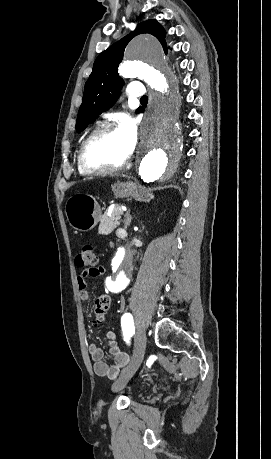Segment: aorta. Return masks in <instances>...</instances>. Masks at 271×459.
<instances>
[{"label": "aorta", "mask_w": 271, "mask_h": 459, "mask_svg": "<svg viewBox=\"0 0 271 459\" xmlns=\"http://www.w3.org/2000/svg\"><path fill=\"white\" fill-rule=\"evenodd\" d=\"M126 57L118 70L120 76L139 77L151 88L137 161L142 181L156 182L175 173L182 154L177 79L165 61L159 42L151 36L134 38L127 46ZM133 256L131 243L121 242L105 278L111 292H121L128 286Z\"/></svg>", "instance_id": "aorta-1"}]
</instances>
